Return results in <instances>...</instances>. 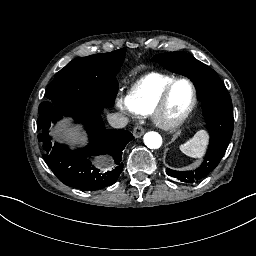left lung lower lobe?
<instances>
[{"mask_svg":"<svg viewBox=\"0 0 256 256\" xmlns=\"http://www.w3.org/2000/svg\"><path fill=\"white\" fill-rule=\"evenodd\" d=\"M168 169V168H167ZM169 176L176 177L178 180H181L182 182L186 183H193V182H198L201 179L205 178V176H198V175H186L185 173L181 171H167L166 172Z\"/></svg>","mask_w":256,"mask_h":256,"instance_id":"obj_1","label":"left lung lower lobe"}]
</instances>
